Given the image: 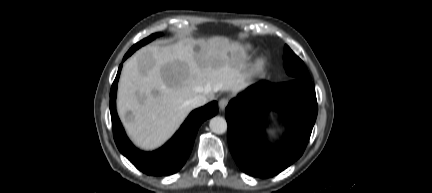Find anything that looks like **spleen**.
I'll list each match as a JSON object with an SVG mask.
<instances>
[{"instance_id":"3e777b00","label":"spleen","mask_w":432,"mask_h":193,"mask_svg":"<svg viewBox=\"0 0 432 193\" xmlns=\"http://www.w3.org/2000/svg\"><path fill=\"white\" fill-rule=\"evenodd\" d=\"M269 133L273 135L275 134V130H269Z\"/></svg>"}]
</instances>
